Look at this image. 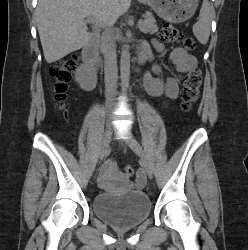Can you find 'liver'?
Returning <instances> with one entry per match:
<instances>
[{
	"label": "liver",
	"mask_w": 248,
	"mask_h": 250,
	"mask_svg": "<svg viewBox=\"0 0 248 250\" xmlns=\"http://www.w3.org/2000/svg\"><path fill=\"white\" fill-rule=\"evenodd\" d=\"M131 0H39L37 29L47 63L86 46L91 38L84 18L110 25L127 12Z\"/></svg>",
	"instance_id": "obj_1"
}]
</instances>
